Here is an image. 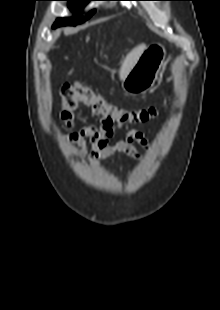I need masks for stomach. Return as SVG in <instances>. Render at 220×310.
Segmentation results:
<instances>
[{
    "label": "stomach",
    "mask_w": 220,
    "mask_h": 310,
    "mask_svg": "<svg viewBox=\"0 0 220 310\" xmlns=\"http://www.w3.org/2000/svg\"><path fill=\"white\" fill-rule=\"evenodd\" d=\"M165 58L164 45L152 43L146 47L135 66L123 80V90L131 95L146 93L158 79Z\"/></svg>",
    "instance_id": "stomach-1"
}]
</instances>
